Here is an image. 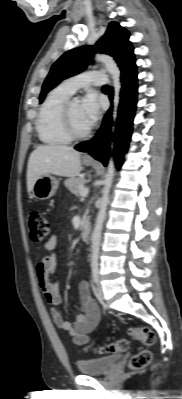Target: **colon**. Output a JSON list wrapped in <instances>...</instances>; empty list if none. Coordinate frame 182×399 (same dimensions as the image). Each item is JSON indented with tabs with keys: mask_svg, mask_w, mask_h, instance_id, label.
<instances>
[{
	"mask_svg": "<svg viewBox=\"0 0 182 399\" xmlns=\"http://www.w3.org/2000/svg\"><path fill=\"white\" fill-rule=\"evenodd\" d=\"M28 225L30 237L33 241L42 242L47 238L50 231V223L42 212L38 210L31 211L28 215ZM129 334L146 346H151L155 342V335L148 327H132L129 329ZM128 347L129 342L127 339H119L97 348L96 352L100 354H115L126 351ZM151 359V352L147 349H142L132 356L129 366L133 370H139L147 366Z\"/></svg>",
	"mask_w": 182,
	"mask_h": 399,
	"instance_id": "1",
	"label": "colon"
}]
</instances>
